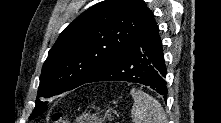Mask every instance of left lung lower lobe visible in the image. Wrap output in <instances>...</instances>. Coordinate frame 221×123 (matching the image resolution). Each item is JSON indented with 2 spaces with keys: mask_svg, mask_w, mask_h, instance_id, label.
<instances>
[{
  "mask_svg": "<svg viewBox=\"0 0 221 123\" xmlns=\"http://www.w3.org/2000/svg\"><path fill=\"white\" fill-rule=\"evenodd\" d=\"M162 41L154 21L129 47L97 71L86 83L120 80L149 86L167 98Z\"/></svg>",
  "mask_w": 221,
  "mask_h": 123,
  "instance_id": "obj_1",
  "label": "left lung lower lobe"
}]
</instances>
